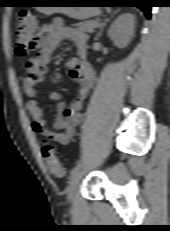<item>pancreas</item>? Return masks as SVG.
I'll return each instance as SVG.
<instances>
[{
    "label": "pancreas",
    "instance_id": "obj_1",
    "mask_svg": "<svg viewBox=\"0 0 170 231\" xmlns=\"http://www.w3.org/2000/svg\"><path fill=\"white\" fill-rule=\"evenodd\" d=\"M75 27H77L78 30L88 33H93L94 29L99 26L98 21H85L80 22L77 24H74Z\"/></svg>",
    "mask_w": 170,
    "mask_h": 231
}]
</instances>
